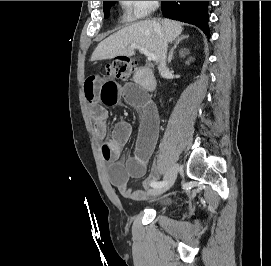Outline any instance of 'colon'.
<instances>
[{
    "instance_id": "5ec220e1",
    "label": "colon",
    "mask_w": 271,
    "mask_h": 266,
    "mask_svg": "<svg viewBox=\"0 0 271 266\" xmlns=\"http://www.w3.org/2000/svg\"><path fill=\"white\" fill-rule=\"evenodd\" d=\"M134 64L126 58H117L106 65L107 75L117 78L126 79L131 74Z\"/></svg>"
}]
</instances>
